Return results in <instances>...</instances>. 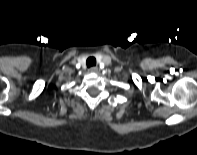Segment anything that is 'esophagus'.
Wrapping results in <instances>:
<instances>
[{
  "instance_id": "esophagus-1",
  "label": "esophagus",
  "mask_w": 197,
  "mask_h": 155,
  "mask_svg": "<svg viewBox=\"0 0 197 155\" xmlns=\"http://www.w3.org/2000/svg\"><path fill=\"white\" fill-rule=\"evenodd\" d=\"M90 71H91V72H97L98 69H97L96 67H92V68L90 69Z\"/></svg>"
}]
</instances>
